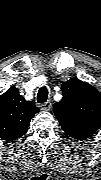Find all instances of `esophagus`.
I'll return each instance as SVG.
<instances>
[{
	"instance_id": "34e87169",
	"label": "esophagus",
	"mask_w": 101,
	"mask_h": 180,
	"mask_svg": "<svg viewBox=\"0 0 101 180\" xmlns=\"http://www.w3.org/2000/svg\"><path fill=\"white\" fill-rule=\"evenodd\" d=\"M51 107H52V103L50 101H47L40 105V108L45 111L50 110Z\"/></svg>"
}]
</instances>
